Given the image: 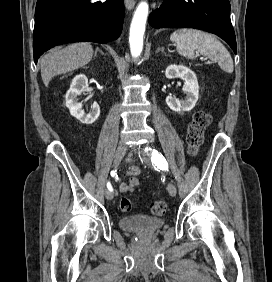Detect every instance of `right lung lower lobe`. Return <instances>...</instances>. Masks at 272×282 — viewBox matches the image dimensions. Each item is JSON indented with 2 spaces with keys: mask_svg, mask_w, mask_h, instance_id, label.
Segmentation results:
<instances>
[{
  "mask_svg": "<svg viewBox=\"0 0 272 282\" xmlns=\"http://www.w3.org/2000/svg\"><path fill=\"white\" fill-rule=\"evenodd\" d=\"M123 21V0H38L33 35L35 63L59 44L118 39Z\"/></svg>",
  "mask_w": 272,
  "mask_h": 282,
  "instance_id": "1",
  "label": "right lung lower lobe"
}]
</instances>
